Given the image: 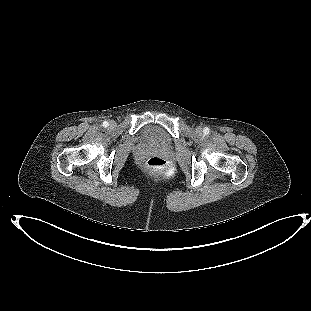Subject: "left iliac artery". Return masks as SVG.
<instances>
[{
  "label": "left iliac artery",
  "instance_id": "44dca946",
  "mask_svg": "<svg viewBox=\"0 0 311 311\" xmlns=\"http://www.w3.org/2000/svg\"><path fill=\"white\" fill-rule=\"evenodd\" d=\"M203 132H204L205 134H209L210 129H209L208 127H205L204 130H203Z\"/></svg>",
  "mask_w": 311,
  "mask_h": 311
}]
</instances>
